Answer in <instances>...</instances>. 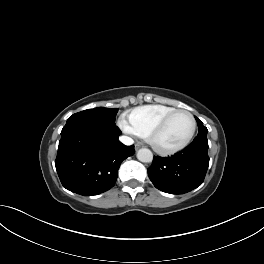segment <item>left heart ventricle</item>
<instances>
[{"label":"left heart ventricle","instance_id":"obj_1","mask_svg":"<svg viewBox=\"0 0 264 264\" xmlns=\"http://www.w3.org/2000/svg\"><path fill=\"white\" fill-rule=\"evenodd\" d=\"M192 121L186 114L175 115L160 132L156 138V143L161 147H171L182 143L190 134Z\"/></svg>","mask_w":264,"mask_h":264}]
</instances>
